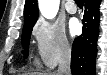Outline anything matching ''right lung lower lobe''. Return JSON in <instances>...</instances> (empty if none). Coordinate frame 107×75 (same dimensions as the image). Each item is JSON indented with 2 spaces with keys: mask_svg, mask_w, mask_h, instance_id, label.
Here are the masks:
<instances>
[{
  "mask_svg": "<svg viewBox=\"0 0 107 75\" xmlns=\"http://www.w3.org/2000/svg\"><path fill=\"white\" fill-rule=\"evenodd\" d=\"M100 0H85L82 34L73 42L71 71L73 75H95Z\"/></svg>",
  "mask_w": 107,
  "mask_h": 75,
  "instance_id": "right-lung-lower-lobe-1",
  "label": "right lung lower lobe"
}]
</instances>
